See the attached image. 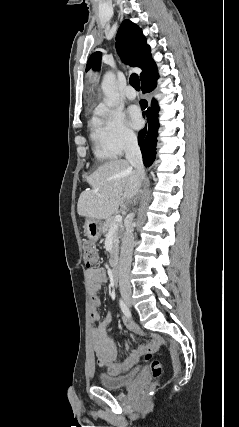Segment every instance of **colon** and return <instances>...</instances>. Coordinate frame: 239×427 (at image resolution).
<instances>
[{
	"instance_id": "1",
	"label": "colon",
	"mask_w": 239,
	"mask_h": 427,
	"mask_svg": "<svg viewBox=\"0 0 239 427\" xmlns=\"http://www.w3.org/2000/svg\"><path fill=\"white\" fill-rule=\"evenodd\" d=\"M84 261L87 267H95L99 263V255L96 246L91 242H86L83 245ZM147 360H152V355H146ZM152 375L157 378L161 374V366L157 360L151 362Z\"/></svg>"
}]
</instances>
